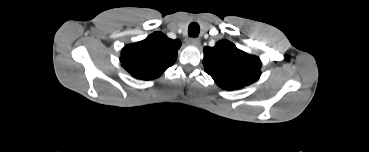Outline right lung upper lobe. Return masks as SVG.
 I'll return each instance as SVG.
<instances>
[{
	"label": "right lung upper lobe",
	"instance_id": "right-lung-upper-lobe-1",
	"mask_svg": "<svg viewBox=\"0 0 369 152\" xmlns=\"http://www.w3.org/2000/svg\"><path fill=\"white\" fill-rule=\"evenodd\" d=\"M180 46V40L154 32L140 42L126 45L121 51L120 62L135 78L154 79L174 64Z\"/></svg>",
	"mask_w": 369,
	"mask_h": 152
}]
</instances>
